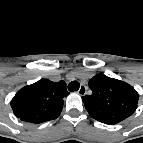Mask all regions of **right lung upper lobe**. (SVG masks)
<instances>
[{"label":"right lung upper lobe","instance_id":"cb5924a9","mask_svg":"<svg viewBox=\"0 0 143 143\" xmlns=\"http://www.w3.org/2000/svg\"><path fill=\"white\" fill-rule=\"evenodd\" d=\"M63 81L40 80L20 90L11 106L21 120L39 123L55 119L62 109V98L67 96Z\"/></svg>","mask_w":143,"mask_h":143}]
</instances>
